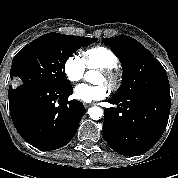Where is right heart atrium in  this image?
Here are the masks:
<instances>
[{
	"instance_id": "1",
	"label": "right heart atrium",
	"mask_w": 178,
	"mask_h": 178,
	"mask_svg": "<svg viewBox=\"0 0 178 178\" xmlns=\"http://www.w3.org/2000/svg\"><path fill=\"white\" fill-rule=\"evenodd\" d=\"M63 69L66 78L70 82L76 83L83 78L86 67L81 59L72 55L65 60Z\"/></svg>"
}]
</instances>
